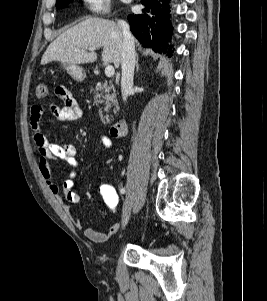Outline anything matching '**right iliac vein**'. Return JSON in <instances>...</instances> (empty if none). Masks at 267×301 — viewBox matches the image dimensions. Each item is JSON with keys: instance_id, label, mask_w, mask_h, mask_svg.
Returning a JSON list of instances; mask_svg holds the SVG:
<instances>
[{"instance_id": "obj_1", "label": "right iliac vein", "mask_w": 267, "mask_h": 301, "mask_svg": "<svg viewBox=\"0 0 267 301\" xmlns=\"http://www.w3.org/2000/svg\"><path fill=\"white\" fill-rule=\"evenodd\" d=\"M131 214V205L129 200L127 199L124 203L123 207V215H122V228L124 229L130 219Z\"/></svg>"}]
</instances>
